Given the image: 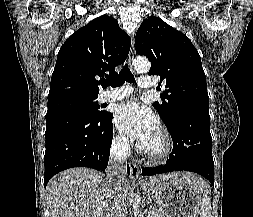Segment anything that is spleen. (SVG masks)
<instances>
[{"instance_id":"3e777b00","label":"spleen","mask_w":253,"mask_h":217,"mask_svg":"<svg viewBox=\"0 0 253 217\" xmlns=\"http://www.w3.org/2000/svg\"><path fill=\"white\" fill-rule=\"evenodd\" d=\"M211 209L210 198L207 193H204L200 207V217H211Z\"/></svg>"}]
</instances>
